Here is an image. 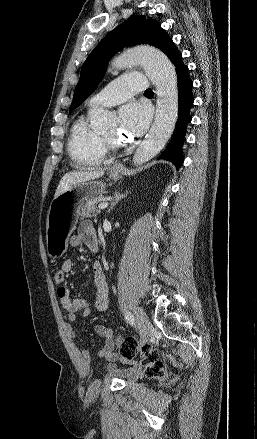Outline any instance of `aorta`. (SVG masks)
Listing matches in <instances>:
<instances>
[{"instance_id":"762f6f07","label":"aorta","mask_w":257,"mask_h":439,"mask_svg":"<svg viewBox=\"0 0 257 439\" xmlns=\"http://www.w3.org/2000/svg\"><path fill=\"white\" fill-rule=\"evenodd\" d=\"M141 64L148 78L156 87V114L146 139L136 150L133 162L142 164L154 158L171 137L178 117V87L175 68L168 57L153 47H140L125 51L112 62L115 69ZM91 127L103 133L115 123L107 110L96 108L89 112Z\"/></svg>"}]
</instances>
